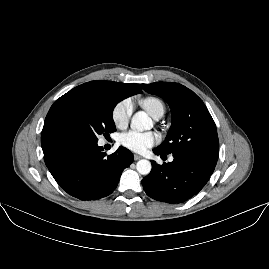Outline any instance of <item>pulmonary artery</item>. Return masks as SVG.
Segmentation results:
<instances>
[{
    "label": "pulmonary artery",
    "instance_id": "1",
    "mask_svg": "<svg viewBox=\"0 0 269 269\" xmlns=\"http://www.w3.org/2000/svg\"><path fill=\"white\" fill-rule=\"evenodd\" d=\"M164 114V111L163 110H159L153 117L156 119V120H159L160 118H162ZM173 156H170L169 160L170 161H173Z\"/></svg>",
    "mask_w": 269,
    "mask_h": 269
}]
</instances>
